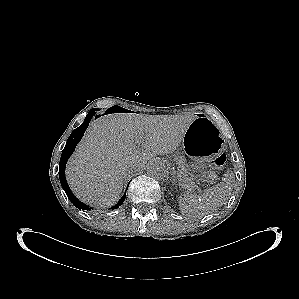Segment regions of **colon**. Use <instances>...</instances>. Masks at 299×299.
<instances>
[{
  "mask_svg": "<svg viewBox=\"0 0 299 299\" xmlns=\"http://www.w3.org/2000/svg\"><path fill=\"white\" fill-rule=\"evenodd\" d=\"M225 162H226L225 155H220L216 159H214L212 165L214 168H221L224 166ZM212 176H213V173L211 170L207 171L205 174H203V178H205V179H210V178H212Z\"/></svg>",
  "mask_w": 299,
  "mask_h": 299,
  "instance_id": "obj_1",
  "label": "colon"
}]
</instances>
